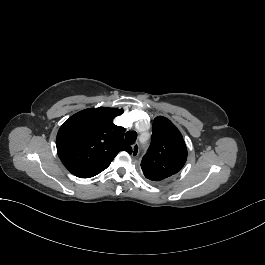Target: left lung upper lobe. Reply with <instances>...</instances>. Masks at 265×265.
Segmentation results:
<instances>
[{"label":"left lung upper lobe","instance_id":"5c2ea615","mask_svg":"<svg viewBox=\"0 0 265 265\" xmlns=\"http://www.w3.org/2000/svg\"><path fill=\"white\" fill-rule=\"evenodd\" d=\"M152 141L141 161L144 176L154 182H163L179 172L187 159V147L180 131L167 118L153 121Z\"/></svg>","mask_w":265,"mask_h":265}]
</instances>
